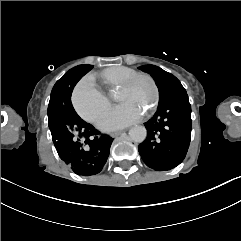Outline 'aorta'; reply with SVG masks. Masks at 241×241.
Listing matches in <instances>:
<instances>
[{
  "mask_svg": "<svg viewBox=\"0 0 241 241\" xmlns=\"http://www.w3.org/2000/svg\"><path fill=\"white\" fill-rule=\"evenodd\" d=\"M131 140L137 143H142L147 137V130L144 126L137 125L129 130Z\"/></svg>",
  "mask_w": 241,
  "mask_h": 241,
  "instance_id": "1",
  "label": "aorta"
}]
</instances>
